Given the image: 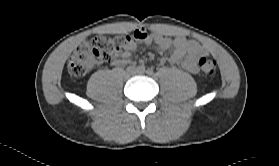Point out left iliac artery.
<instances>
[{"instance_id":"left-iliac-artery-1","label":"left iliac artery","mask_w":279,"mask_h":166,"mask_svg":"<svg viewBox=\"0 0 279 166\" xmlns=\"http://www.w3.org/2000/svg\"><path fill=\"white\" fill-rule=\"evenodd\" d=\"M146 73H147L148 75H152L154 72H153V69H152V68H148V69L146 70Z\"/></svg>"}]
</instances>
